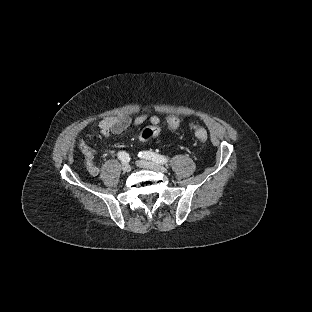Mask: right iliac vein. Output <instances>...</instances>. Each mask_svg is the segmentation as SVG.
Listing matches in <instances>:
<instances>
[{"mask_svg": "<svg viewBox=\"0 0 312 312\" xmlns=\"http://www.w3.org/2000/svg\"><path fill=\"white\" fill-rule=\"evenodd\" d=\"M122 171H123L124 173L130 172V171H131V166H130L129 164H127V163H124V164L122 165Z\"/></svg>", "mask_w": 312, "mask_h": 312, "instance_id": "1", "label": "right iliac vein"}]
</instances>
